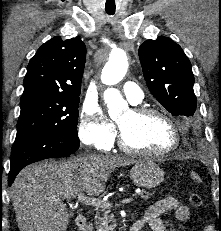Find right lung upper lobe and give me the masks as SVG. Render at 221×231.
Instances as JSON below:
<instances>
[{
  "label": "right lung upper lobe",
  "mask_w": 221,
  "mask_h": 231,
  "mask_svg": "<svg viewBox=\"0 0 221 231\" xmlns=\"http://www.w3.org/2000/svg\"><path fill=\"white\" fill-rule=\"evenodd\" d=\"M85 60L86 46L81 39L52 38L30 60L21 100L36 96L79 97Z\"/></svg>",
  "instance_id": "1"
}]
</instances>
